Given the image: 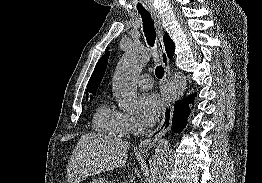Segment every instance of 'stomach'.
<instances>
[{
	"mask_svg": "<svg viewBox=\"0 0 262 183\" xmlns=\"http://www.w3.org/2000/svg\"><path fill=\"white\" fill-rule=\"evenodd\" d=\"M90 183H113L102 177H94Z\"/></svg>",
	"mask_w": 262,
	"mask_h": 183,
	"instance_id": "obj_1",
	"label": "stomach"
}]
</instances>
